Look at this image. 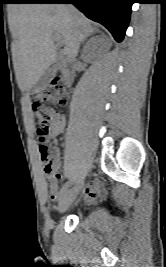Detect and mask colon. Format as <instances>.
Wrapping results in <instances>:
<instances>
[{
	"label": "colon",
	"mask_w": 166,
	"mask_h": 267,
	"mask_svg": "<svg viewBox=\"0 0 166 267\" xmlns=\"http://www.w3.org/2000/svg\"><path fill=\"white\" fill-rule=\"evenodd\" d=\"M68 100L66 82L61 78H55L36 93L32 103L33 115L38 126L39 151L47 177H52L55 174V169L53 166L54 153L46 143V138L52 124L62 118L59 106L66 105Z\"/></svg>",
	"instance_id": "colon-1"
}]
</instances>
